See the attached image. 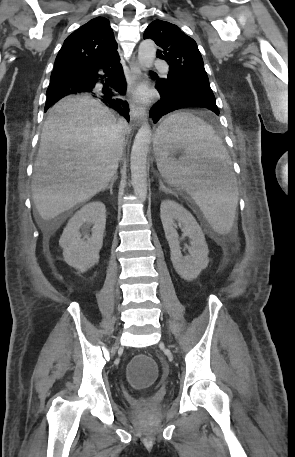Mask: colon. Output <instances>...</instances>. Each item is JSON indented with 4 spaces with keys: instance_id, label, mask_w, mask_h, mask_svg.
I'll use <instances>...</instances> for the list:
<instances>
[{
    "instance_id": "colon-1",
    "label": "colon",
    "mask_w": 295,
    "mask_h": 457,
    "mask_svg": "<svg viewBox=\"0 0 295 457\" xmlns=\"http://www.w3.org/2000/svg\"><path fill=\"white\" fill-rule=\"evenodd\" d=\"M126 376L131 377V390H150L151 383H155L158 376L157 363L153 357H147L146 352H141L140 357L131 358Z\"/></svg>"
}]
</instances>
